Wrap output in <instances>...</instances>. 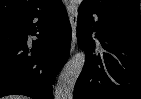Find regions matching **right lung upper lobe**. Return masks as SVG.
Here are the masks:
<instances>
[{"instance_id": "1", "label": "right lung upper lobe", "mask_w": 141, "mask_h": 99, "mask_svg": "<svg viewBox=\"0 0 141 99\" xmlns=\"http://www.w3.org/2000/svg\"><path fill=\"white\" fill-rule=\"evenodd\" d=\"M57 0H0V20L45 9Z\"/></svg>"}]
</instances>
